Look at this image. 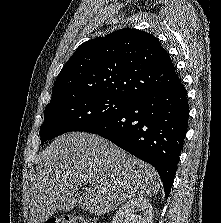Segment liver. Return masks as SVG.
<instances>
[{
    "mask_svg": "<svg viewBox=\"0 0 221 223\" xmlns=\"http://www.w3.org/2000/svg\"><path fill=\"white\" fill-rule=\"evenodd\" d=\"M32 183L29 223H44L59 209L69 211L68 201L81 184L89 188L76 203L100 216L132 198L153 196L160 179L151 165L108 140L70 132L40 152Z\"/></svg>",
    "mask_w": 221,
    "mask_h": 223,
    "instance_id": "1",
    "label": "liver"
}]
</instances>
